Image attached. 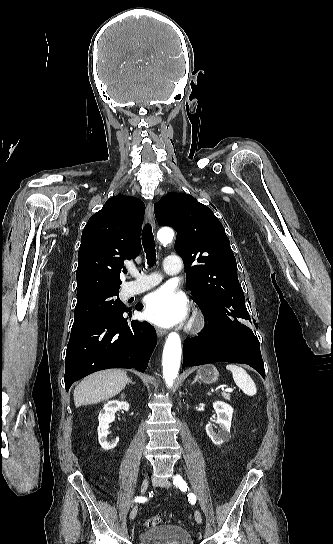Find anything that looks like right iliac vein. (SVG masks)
<instances>
[{
    "label": "right iliac vein",
    "mask_w": 333,
    "mask_h": 544,
    "mask_svg": "<svg viewBox=\"0 0 333 544\" xmlns=\"http://www.w3.org/2000/svg\"><path fill=\"white\" fill-rule=\"evenodd\" d=\"M148 486H149V481H148L147 478H145V479L143 480V482H142V485H141V492H142V493H145V492L147 491V489H148ZM137 511H138V506L135 505V506L132 508L131 512H130V516H129L130 520H134V518H135L136 515H137Z\"/></svg>",
    "instance_id": "63e3f726"
}]
</instances>
